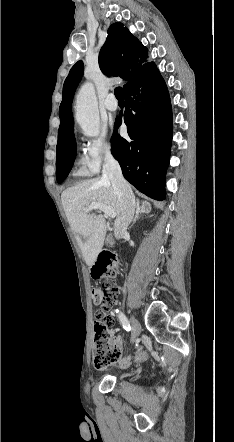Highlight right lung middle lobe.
Masks as SVG:
<instances>
[{"label": "right lung middle lobe", "instance_id": "obj_1", "mask_svg": "<svg viewBox=\"0 0 234 442\" xmlns=\"http://www.w3.org/2000/svg\"><path fill=\"white\" fill-rule=\"evenodd\" d=\"M76 157L74 134L62 146L57 148L56 156V177L57 182L61 183L68 176Z\"/></svg>", "mask_w": 234, "mask_h": 442}]
</instances>
